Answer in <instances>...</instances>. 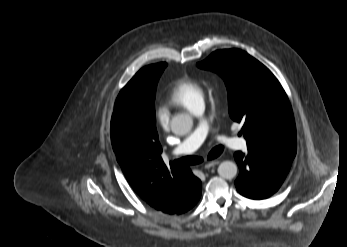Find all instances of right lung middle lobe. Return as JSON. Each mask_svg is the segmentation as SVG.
Masks as SVG:
<instances>
[{"mask_svg": "<svg viewBox=\"0 0 347 247\" xmlns=\"http://www.w3.org/2000/svg\"><path fill=\"white\" fill-rule=\"evenodd\" d=\"M167 66L157 63L146 66L133 77L138 83L134 95L120 93L117 97V108L129 118H140L147 126L156 129L155 93L158 80Z\"/></svg>", "mask_w": 347, "mask_h": 247, "instance_id": "obj_1", "label": "right lung middle lobe"}]
</instances>
